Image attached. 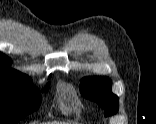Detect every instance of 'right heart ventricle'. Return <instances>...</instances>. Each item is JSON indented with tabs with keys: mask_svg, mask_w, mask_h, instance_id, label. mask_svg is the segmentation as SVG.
Here are the masks:
<instances>
[{
	"mask_svg": "<svg viewBox=\"0 0 156 124\" xmlns=\"http://www.w3.org/2000/svg\"><path fill=\"white\" fill-rule=\"evenodd\" d=\"M59 102H60V109H61V111L64 112V113H68L70 111V107L67 104L65 94H62L60 96Z\"/></svg>",
	"mask_w": 156,
	"mask_h": 124,
	"instance_id": "right-heart-ventricle-1",
	"label": "right heart ventricle"
}]
</instances>
